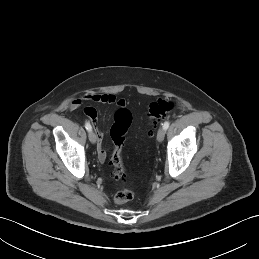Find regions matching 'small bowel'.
I'll return each mask as SVG.
<instances>
[{"mask_svg": "<svg viewBox=\"0 0 259 259\" xmlns=\"http://www.w3.org/2000/svg\"><path fill=\"white\" fill-rule=\"evenodd\" d=\"M82 101H89L92 103H99V104L116 105L118 108L126 107V101L123 98H118L113 94L94 93V94L84 95L83 97L74 100L71 103V109L74 110V109L78 108L81 105ZM84 113L90 119L91 123L93 124V126L95 128L97 142H98L97 156H98L99 161L104 162L107 158V149L103 145L104 134L98 126L97 111L94 108L86 107L84 109Z\"/></svg>", "mask_w": 259, "mask_h": 259, "instance_id": "1", "label": "small bowel"}]
</instances>
